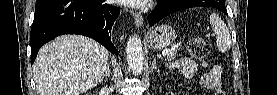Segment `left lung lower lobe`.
<instances>
[{"label":"left lung lower lobe","mask_w":277,"mask_h":95,"mask_svg":"<svg viewBox=\"0 0 277 95\" xmlns=\"http://www.w3.org/2000/svg\"><path fill=\"white\" fill-rule=\"evenodd\" d=\"M201 0H158V5L148 16V23L153 26L165 16L186 8L200 6ZM227 14L225 6L217 8Z\"/></svg>","instance_id":"left-lung-lower-lobe-1"}]
</instances>
